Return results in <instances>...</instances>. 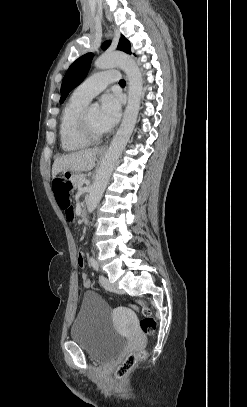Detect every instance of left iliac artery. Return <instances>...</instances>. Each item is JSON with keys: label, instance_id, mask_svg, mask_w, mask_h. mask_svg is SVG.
<instances>
[{"label": "left iliac artery", "instance_id": "44dca946", "mask_svg": "<svg viewBox=\"0 0 247 407\" xmlns=\"http://www.w3.org/2000/svg\"><path fill=\"white\" fill-rule=\"evenodd\" d=\"M89 261H90L91 266H92L96 271H98L99 266H98V263H97L96 259L93 258V257H90Z\"/></svg>", "mask_w": 247, "mask_h": 407}]
</instances>
